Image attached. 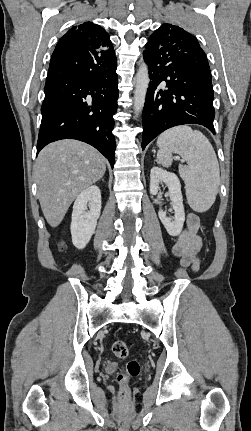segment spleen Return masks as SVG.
<instances>
[{
    "label": "spleen",
    "mask_w": 251,
    "mask_h": 431,
    "mask_svg": "<svg viewBox=\"0 0 251 431\" xmlns=\"http://www.w3.org/2000/svg\"><path fill=\"white\" fill-rule=\"evenodd\" d=\"M157 145V159L164 167L171 166L172 153L186 161L187 165L179 166V174L188 204L196 212L207 211L215 202L220 182L218 160L209 140L200 131L180 125L163 132Z\"/></svg>",
    "instance_id": "obj_1"
}]
</instances>
